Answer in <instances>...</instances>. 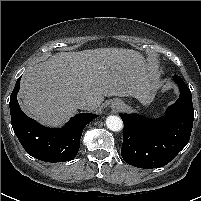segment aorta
<instances>
[{
	"instance_id": "aorta-1",
	"label": "aorta",
	"mask_w": 201,
	"mask_h": 201,
	"mask_svg": "<svg viewBox=\"0 0 201 201\" xmlns=\"http://www.w3.org/2000/svg\"><path fill=\"white\" fill-rule=\"evenodd\" d=\"M107 128L111 131H120L123 128V122L119 116L110 115L106 118Z\"/></svg>"
}]
</instances>
